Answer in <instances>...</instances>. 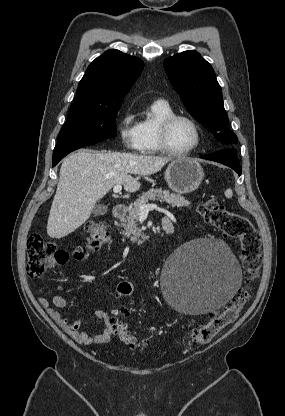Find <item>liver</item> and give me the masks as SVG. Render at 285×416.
Masks as SVG:
<instances>
[{"instance_id":"obj_1","label":"liver","mask_w":285,"mask_h":416,"mask_svg":"<svg viewBox=\"0 0 285 416\" xmlns=\"http://www.w3.org/2000/svg\"><path fill=\"white\" fill-rule=\"evenodd\" d=\"M171 158L146 154H119L78 150L64 160L55 198L52 202L47 234L64 238L89 220L96 202L114 186L125 192H138L141 184L131 174L151 176L160 172Z\"/></svg>"}]
</instances>
